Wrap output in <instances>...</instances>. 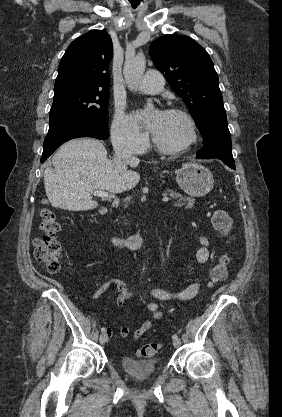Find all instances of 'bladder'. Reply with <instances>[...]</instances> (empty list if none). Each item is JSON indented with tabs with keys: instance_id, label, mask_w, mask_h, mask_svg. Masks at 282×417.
<instances>
[{
	"instance_id": "1",
	"label": "bladder",
	"mask_w": 282,
	"mask_h": 417,
	"mask_svg": "<svg viewBox=\"0 0 282 417\" xmlns=\"http://www.w3.org/2000/svg\"><path fill=\"white\" fill-rule=\"evenodd\" d=\"M122 370L135 380L143 381L154 375L158 369L155 359H140L132 356H123Z\"/></svg>"
}]
</instances>
